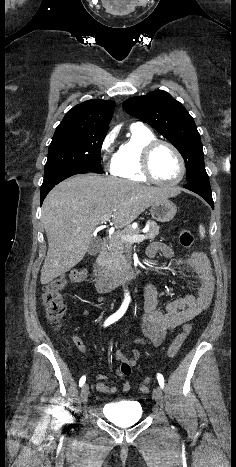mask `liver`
Returning a JSON list of instances; mask_svg holds the SVG:
<instances>
[{"mask_svg":"<svg viewBox=\"0 0 236 467\" xmlns=\"http://www.w3.org/2000/svg\"><path fill=\"white\" fill-rule=\"evenodd\" d=\"M178 194L177 188L169 186H143L92 173L61 182L42 207L48 252L41 284L63 275L83 259L95 228L105 216H111L115 228H123L153 203Z\"/></svg>","mask_w":236,"mask_h":467,"instance_id":"obj_1","label":"liver"}]
</instances>
